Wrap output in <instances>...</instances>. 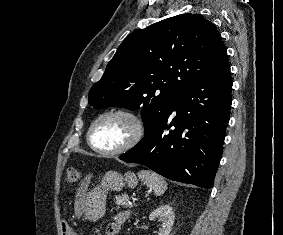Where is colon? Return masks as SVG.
Returning a JSON list of instances; mask_svg holds the SVG:
<instances>
[{
    "label": "colon",
    "mask_w": 283,
    "mask_h": 235,
    "mask_svg": "<svg viewBox=\"0 0 283 235\" xmlns=\"http://www.w3.org/2000/svg\"><path fill=\"white\" fill-rule=\"evenodd\" d=\"M79 177H80V173L78 169L74 167H70L67 169L66 175H65V180L67 183H74L79 179ZM71 233L72 232L69 229V227L64 224V235H71Z\"/></svg>",
    "instance_id": "1"
}]
</instances>
